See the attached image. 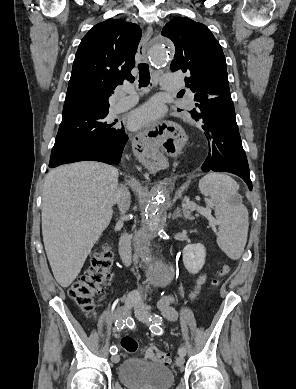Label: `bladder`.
I'll return each mask as SVG.
<instances>
[{
  "label": "bladder",
  "instance_id": "31cf9c89",
  "mask_svg": "<svg viewBox=\"0 0 296 389\" xmlns=\"http://www.w3.org/2000/svg\"><path fill=\"white\" fill-rule=\"evenodd\" d=\"M118 378L129 389H170L174 384L169 367L138 358L125 359L118 368Z\"/></svg>",
  "mask_w": 296,
  "mask_h": 389
}]
</instances>
